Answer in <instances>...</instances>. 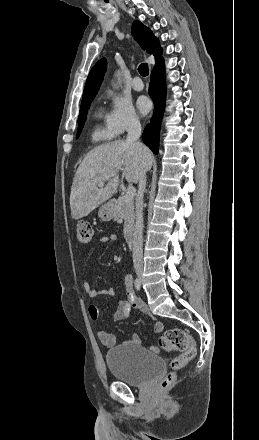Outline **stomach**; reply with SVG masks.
I'll return each instance as SVG.
<instances>
[{
	"instance_id": "obj_1",
	"label": "stomach",
	"mask_w": 259,
	"mask_h": 440,
	"mask_svg": "<svg viewBox=\"0 0 259 440\" xmlns=\"http://www.w3.org/2000/svg\"><path fill=\"white\" fill-rule=\"evenodd\" d=\"M114 213L115 206L113 202H108L100 207L98 216L102 221L107 222L114 218Z\"/></svg>"
}]
</instances>
